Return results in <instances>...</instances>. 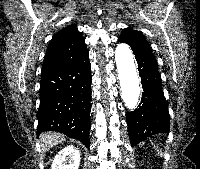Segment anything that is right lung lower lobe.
<instances>
[{"label":"right lung lower lobe","instance_id":"1","mask_svg":"<svg viewBox=\"0 0 200 169\" xmlns=\"http://www.w3.org/2000/svg\"><path fill=\"white\" fill-rule=\"evenodd\" d=\"M90 68L86 51L69 65L42 72L38 134L58 131L89 147Z\"/></svg>","mask_w":200,"mask_h":169}]
</instances>
